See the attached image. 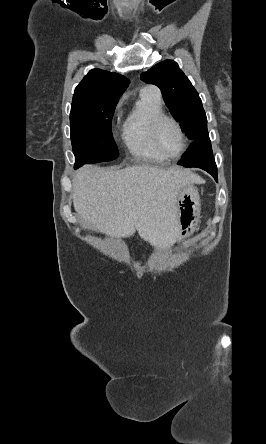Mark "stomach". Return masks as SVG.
<instances>
[{"label": "stomach", "mask_w": 266, "mask_h": 444, "mask_svg": "<svg viewBox=\"0 0 266 444\" xmlns=\"http://www.w3.org/2000/svg\"><path fill=\"white\" fill-rule=\"evenodd\" d=\"M200 196L193 185L183 187L176 198L177 238H185L195 229L200 217Z\"/></svg>", "instance_id": "obj_1"}]
</instances>
